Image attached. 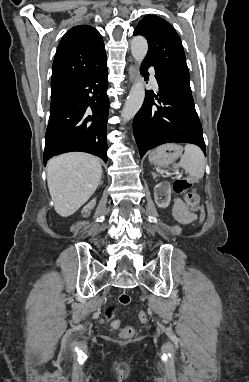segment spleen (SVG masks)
<instances>
[{"mask_svg": "<svg viewBox=\"0 0 249 382\" xmlns=\"http://www.w3.org/2000/svg\"><path fill=\"white\" fill-rule=\"evenodd\" d=\"M206 160L202 150L193 144L184 147V154L174 168H183L191 177L200 179L205 172Z\"/></svg>", "mask_w": 249, "mask_h": 382, "instance_id": "3e777b00", "label": "spleen"}]
</instances>
